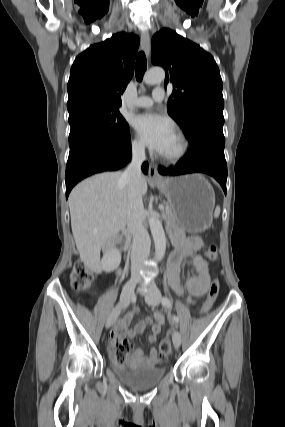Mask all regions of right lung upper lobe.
<instances>
[{"mask_svg": "<svg viewBox=\"0 0 285 427\" xmlns=\"http://www.w3.org/2000/svg\"><path fill=\"white\" fill-rule=\"evenodd\" d=\"M138 46V36L121 32L78 55L67 86L69 115L90 107L121 106Z\"/></svg>", "mask_w": 285, "mask_h": 427, "instance_id": "right-lung-upper-lobe-1", "label": "right lung upper lobe"}]
</instances>
